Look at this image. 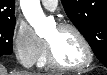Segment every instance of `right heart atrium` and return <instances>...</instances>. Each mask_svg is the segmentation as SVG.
Segmentation results:
<instances>
[{"label":"right heart atrium","instance_id":"d8ad5b80","mask_svg":"<svg viewBox=\"0 0 107 75\" xmlns=\"http://www.w3.org/2000/svg\"><path fill=\"white\" fill-rule=\"evenodd\" d=\"M12 45L18 60L27 67L37 64L46 49L45 42L24 22L16 23Z\"/></svg>","mask_w":107,"mask_h":75}]
</instances>
